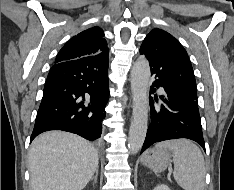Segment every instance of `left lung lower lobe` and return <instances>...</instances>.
I'll return each instance as SVG.
<instances>
[{
	"label": "left lung lower lobe",
	"mask_w": 234,
	"mask_h": 190,
	"mask_svg": "<svg viewBox=\"0 0 234 190\" xmlns=\"http://www.w3.org/2000/svg\"><path fill=\"white\" fill-rule=\"evenodd\" d=\"M140 54L146 56L151 76L155 77L150 94H155L159 87L163 88V93L159 96L163 101L161 105L154 107L153 97L150 96L152 122L141 153L154 143L177 138L196 141L205 150L198 102L190 99L173 84L165 54L142 48ZM154 98L158 100L157 94Z\"/></svg>",
	"instance_id": "obj_1"
}]
</instances>
